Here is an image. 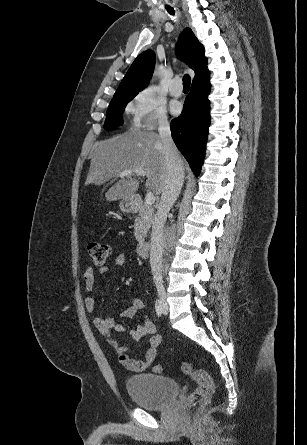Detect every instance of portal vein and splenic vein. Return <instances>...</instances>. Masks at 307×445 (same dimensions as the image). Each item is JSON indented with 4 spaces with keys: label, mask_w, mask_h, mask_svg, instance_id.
<instances>
[{
    "label": "portal vein and splenic vein",
    "mask_w": 307,
    "mask_h": 445,
    "mask_svg": "<svg viewBox=\"0 0 307 445\" xmlns=\"http://www.w3.org/2000/svg\"><path fill=\"white\" fill-rule=\"evenodd\" d=\"M129 172H137V174H140V176H149L148 172L146 170H142V168H124V170H121L119 172V176H126V174H129ZM156 198L154 192H147L145 196V202L146 204H154Z\"/></svg>",
    "instance_id": "obj_1"
}]
</instances>
